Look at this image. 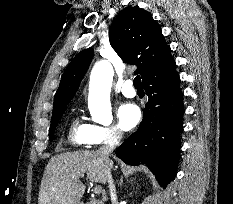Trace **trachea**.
Masks as SVG:
<instances>
[{"label": "trachea", "instance_id": "obj_1", "mask_svg": "<svg viewBox=\"0 0 233 204\" xmlns=\"http://www.w3.org/2000/svg\"><path fill=\"white\" fill-rule=\"evenodd\" d=\"M133 85L136 89H143V85H142L141 78L139 75H137L134 78Z\"/></svg>", "mask_w": 233, "mask_h": 204}]
</instances>
